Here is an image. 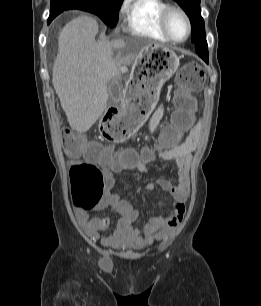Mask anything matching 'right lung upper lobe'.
Returning a JSON list of instances; mask_svg holds the SVG:
<instances>
[{
	"mask_svg": "<svg viewBox=\"0 0 261 306\" xmlns=\"http://www.w3.org/2000/svg\"><path fill=\"white\" fill-rule=\"evenodd\" d=\"M57 1H68V2H71V1H76V0H51V2H57Z\"/></svg>",
	"mask_w": 261,
	"mask_h": 306,
	"instance_id": "right-lung-upper-lobe-1",
	"label": "right lung upper lobe"
}]
</instances>
